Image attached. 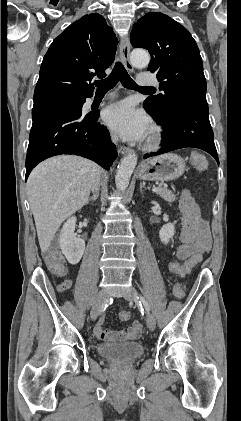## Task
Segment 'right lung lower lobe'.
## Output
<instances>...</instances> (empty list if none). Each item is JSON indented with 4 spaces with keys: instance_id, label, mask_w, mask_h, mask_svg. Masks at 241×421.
I'll use <instances>...</instances> for the list:
<instances>
[{
    "instance_id": "1",
    "label": "right lung lower lobe",
    "mask_w": 241,
    "mask_h": 421,
    "mask_svg": "<svg viewBox=\"0 0 241 421\" xmlns=\"http://www.w3.org/2000/svg\"><path fill=\"white\" fill-rule=\"evenodd\" d=\"M89 95L87 97H91ZM87 97H69L32 113L26 156V180L41 161L61 154L91 159L109 169L117 157L109 132L97 121L99 113H82Z\"/></svg>"
}]
</instances>
